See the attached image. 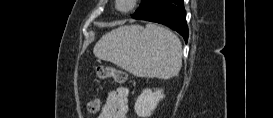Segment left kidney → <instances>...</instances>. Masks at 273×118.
Segmentation results:
<instances>
[{"label":"left kidney","mask_w":273,"mask_h":118,"mask_svg":"<svg viewBox=\"0 0 273 118\" xmlns=\"http://www.w3.org/2000/svg\"><path fill=\"white\" fill-rule=\"evenodd\" d=\"M164 98L163 90H156L152 92L150 89H145L138 96L135 102V112L141 118L151 116L152 112L156 109L159 101Z\"/></svg>","instance_id":"left-kidney-1"}]
</instances>
